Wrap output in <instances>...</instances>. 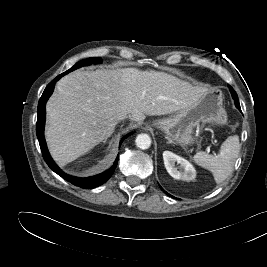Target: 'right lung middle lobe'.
<instances>
[{"label": "right lung middle lobe", "mask_w": 267, "mask_h": 267, "mask_svg": "<svg viewBox=\"0 0 267 267\" xmlns=\"http://www.w3.org/2000/svg\"><path fill=\"white\" fill-rule=\"evenodd\" d=\"M102 62V59L100 57H94V58H89V59H84V60H81L79 61L78 63H76L72 68H70L68 71L64 72L65 74L77 69V68H80L82 66H86V65H90L92 63L94 64H97V63H100Z\"/></svg>", "instance_id": "1"}]
</instances>
